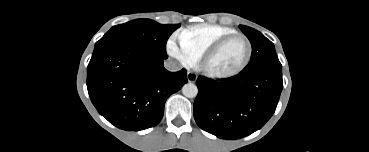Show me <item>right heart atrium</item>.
<instances>
[{
    "label": "right heart atrium",
    "instance_id": "1",
    "mask_svg": "<svg viewBox=\"0 0 369 152\" xmlns=\"http://www.w3.org/2000/svg\"><path fill=\"white\" fill-rule=\"evenodd\" d=\"M167 51L185 66L195 63V59L191 53L174 36L167 41Z\"/></svg>",
    "mask_w": 369,
    "mask_h": 152
}]
</instances>
